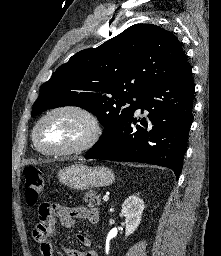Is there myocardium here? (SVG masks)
<instances>
[{"instance_id":"myocardium-1","label":"myocardium","mask_w":221,"mask_h":256,"mask_svg":"<svg viewBox=\"0 0 221 256\" xmlns=\"http://www.w3.org/2000/svg\"><path fill=\"white\" fill-rule=\"evenodd\" d=\"M60 112H73L82 116L89 125V132L87 136L78 144L60 149H50L41 145L38 139V132L42 123L51 117L52 115ZM103 135V125L99 117L89 108L78 105V104H65L56 106L49 111H47L40 119L37 121L33 128L32 140L35 147L44 154L48 155H72L82 153L91 149L102 137Z\"/></svg>"}]
</instances>
